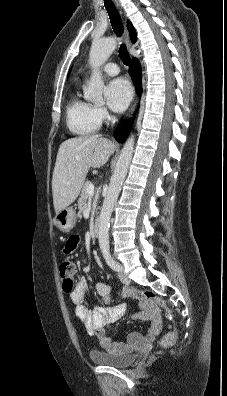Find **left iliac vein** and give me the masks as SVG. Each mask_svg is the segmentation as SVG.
Listing matches in <instances>:
<instances>
[{
  "instance_id": "4c4485c4",
  "label": "left iliac vein",
  "mask_w": 227,
  "mask_h": 396,
  "mask_svg": "<svg viewBox=\"0 0 227 396\" xmlns=\"http://www.w3.org/2000/svg\"><path fill=\"white\" fill-rule=\"evenodd\" d=\"M118 277H119V279H120V281L122 283H124V284H129L130 283V279L128 278V276L124 272L123 266H120V270L118 271Z\"/></svg>"
}]
</instances>
